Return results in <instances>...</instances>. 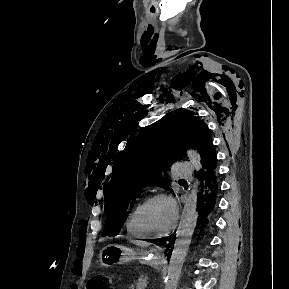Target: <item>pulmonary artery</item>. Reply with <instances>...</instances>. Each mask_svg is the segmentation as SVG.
<instances>
[{"label":"pulmonary artery","mask_w":289,"mask_h":289,"mask_svg":"<svg viewBox=\"0 0 289 289\" xmlns=\"http://www.w3.org/2000/svg\"><path fill=\"white\" fill-rule=\"evenodd\" d=\"M172 172L176 177H179V178H191L192 177L190 164L183 162V161L175 163L172 168Z\"/></svg>","instance_id":"e3ab8cb5"}]
</instances>
